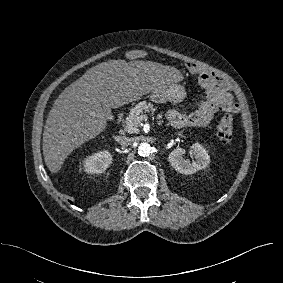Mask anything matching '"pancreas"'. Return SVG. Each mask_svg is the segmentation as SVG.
<instances>
[{
	"label": "pancreas",
	"mask_w": 283,
	"mask_h": 283,
	"mask_svg": "<svg viewBox=\"0 0 283 283\" xmlns=\"http://www.w3.org/2000/svg\"><path fill=\"white\" fill-rule=\"evenodd\" d=\"M156 108L153 104L142 101L131 109L128 117L124 122V128L128 133H135L141 125L140 116L145 112L155 111Z\"/></svg>",
	"instance_id": "1"
}]
</instances>
